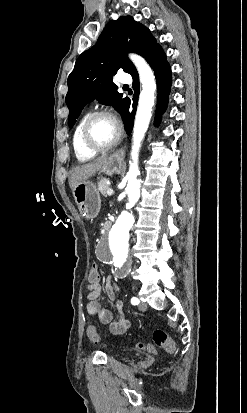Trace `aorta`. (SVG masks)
Returning <instances> with one entry per match:
<instances>
[{
	"label": "aorta",
	"instance_id": "1",
	"mask_svg": "<svg viewBox=\"0 0 247 413\" xmlns=\"http://www.w3.org/2000/svg\"><path fill=\"white\" fill-rule=\"evenodd\" d=\"M130 59L137 68L142 84L133 129L132 161L130 162L129 171L126 175L128 179L126 187V193L128 195L127 206L133 207L140 197L141 181L138 179V154L141 142L152 117L151 112L155 100L156 81L152 69L141 56L131 54ZM133 223L134 216L128 211H123L110 233V239L113 244L112 253L114 262L120 267L127 259L129 230L133 226Z\"/></svg>",
	"mask_w": 247,
	"mask_h": 413
}]
</instances>
